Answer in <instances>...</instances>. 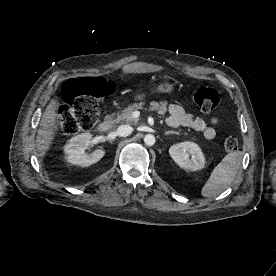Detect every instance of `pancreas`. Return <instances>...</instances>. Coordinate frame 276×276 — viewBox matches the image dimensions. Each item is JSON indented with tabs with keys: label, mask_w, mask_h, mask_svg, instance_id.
<instances>
[{
	"label": "pancreas",
	"mask_w": 276,
	"mask_h": 276,
	"mask_svg": "<svg viewBox=\"0 0 276 276\" xmlns=\"http://www.w3.org/2000/svg\"><path fill=\"white\" fill-rule=\"evenodd\" d=\"M142 105H143L142 103L129 105L126 109L122 110L120 113H117L116 117L113 114L111 116H108L107 119L110 120L112 123H119L122 121V122L136 125L138 122V119L134 118L132 114L135 110L142 109ZM166 106H167L166 102H160V103L151 102L149 110L157 111L159 114L163 115L166 112Z\"/></svg>",
	"instance_id": "1"
}]
</instances>
